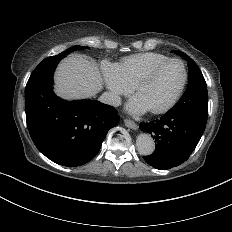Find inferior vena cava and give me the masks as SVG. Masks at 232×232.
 Returning <instances> with one entry per match:
<instances>
[{
	"label": "inferior vena cava",
	"instance_id": "602c4592",
	"mask_svg": "<svg viewBox=\"0 0 232 232\" xmlns=\"http://www.w3.org/2000/svg\"><path fill=\"white\" fill-rule=\"evenodd\" d=\"M100 100L108 105H112V106H118L121 103V98L120 96L114 94L113 92H104L101 97Z\"/></svg>",
	"mask_w": 232,
	"mask_h": 232
}]
</instances>
